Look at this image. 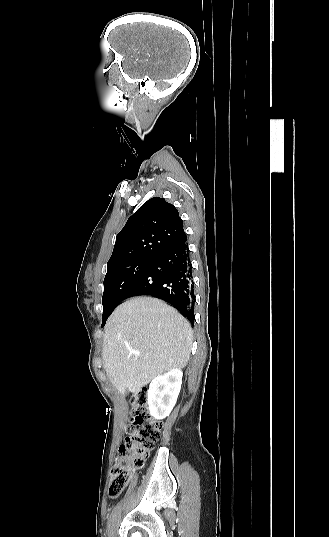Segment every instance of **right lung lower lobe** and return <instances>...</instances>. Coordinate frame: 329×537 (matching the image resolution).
Wrapping results in <instances>:
<instances>
[{
    "instance_id": "right-lung-lower-lobe-1",
    "label": "right lung lower lobe",
    "mask_w": 329,
    "mask_h": 537,
    "mask_svg": "<svg viewBox=\"0 0 329 537\" xmlns=\"http://www.w3.org/2000/svg\"><path fill=\"white\" fill-rule=\"evenodd\" d=\"M139 295L165 300L194 320V283L186 235L152 260L123 300Z\"/></svg>"
}]
</instances>
